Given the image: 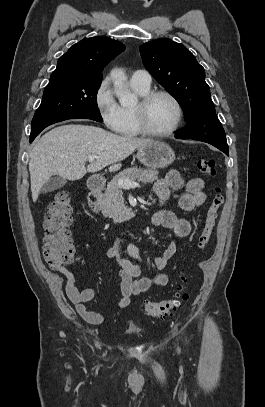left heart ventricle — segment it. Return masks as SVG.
Listing matches in <instances>:
<instances>
[{
    "label": "left heart ventricle",
    "mask_w": 265,
    "mask_h": 407,
    "mask_svg": "<svg viewBox=\"0 0 265 407\" xmlns=\"http://www.w3.org/2000/svg\"><path fill=\"white\" fill-rule=\"evenodd\" d=\"M176 108L167 97L155 98L147 109L146 122L152 131L164 132L175 122Z\"/></svg>",
    "instance_id": "b2bd125f"
}]
</instances>
